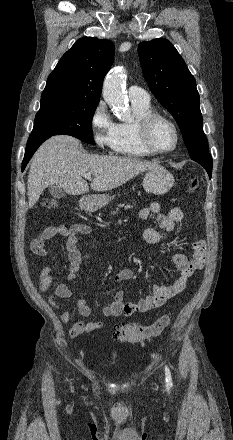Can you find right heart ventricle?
<instances>
[{
	"label": "right heart ventricle",
	"instance_id": "right-heart-ventricle-1",
	"mask_svg": "<svg viewBox=\"0 0 233 440\" xmlns=\"http://www.w3.org/2000/svg\"><path fill=\"white\" fill-rule=\"evenodd\" d=\"M134 119L128 122H118L115 125L114 148L116 154L130 158L149 157L150 154L140 144L136 131V121L152 112L150 103H134L132 102Z\"/></svg>",
	"mask_w": 233,
	"mask_h": 440
}]
</instances>
